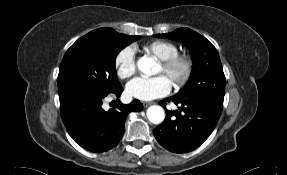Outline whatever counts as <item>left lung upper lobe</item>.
<instances>
[{
  "label": "left lung upper lobe",
  "mask_w": 287,
  "mask_h": 175,
  "mask_svg": "<svg viewBox=\"0 0 287 175\" xmlns=\"http://www.w3.org/2000/svg\"><path fill=\"white\" fill-rule=\"evenodd\" d=\"M155 37L181 41L192 52L194 65L191 76L185 87L175 96L201 98L223 107L225 75L215 47L205 37L188 28H179Z\"/></svg>",
  "instance_id": "left-lung-upper-lobe-1"
}]
</instances>
